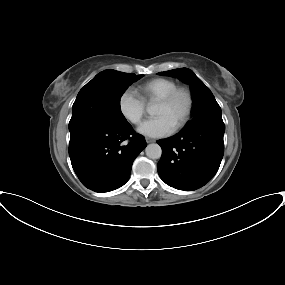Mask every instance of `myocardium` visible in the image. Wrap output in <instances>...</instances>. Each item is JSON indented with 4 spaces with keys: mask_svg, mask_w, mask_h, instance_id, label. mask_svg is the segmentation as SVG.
Segmentation results:
<instances>
[{
    "mask_svg": "<svg viewBox=\"0 0 285 285\" xmlns=\"http://www.w3.org/2000/svg\"><path fill=\"white\" fill-rule=\"evenodd\" d=\"M179 95H185V97L187 98V110L183 118L180 120V122L174 127L175 132L184 128L192 118L195 106V100L191 89H189L186 86H177L173 90H171L168 94H166L164 97H162L160 100L157 101V104L167 106L170 105Z\"/></svg>",
    "mask_w": 285,
    "mask_h": 285,
    "instance_id": "f54148a6",
    "label": "myocardium"
}]
</instances>
